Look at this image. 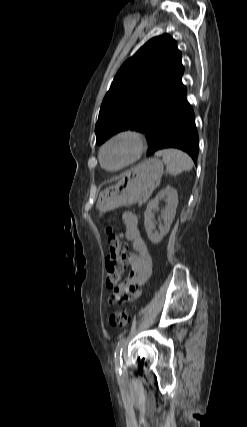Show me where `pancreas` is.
I'll use <instances>...</instances> for the list:
<instances>
[{"label":"pancreas","mask_w":247,"mask_h":427,"mask_svg":"<svg viewBox=\"0 0 247 427\" xmlns=\"http://www.w3.org/2000/svg\"><path fill=\"white\" fill-rule=\"evenodd\" d=\"M150 194H151V191L147 192V193L143 196V199H142L141 201H139V204H142V203L146 202V201H147V199L149 198Z\"/></svg>","instance_id":"1"}]
</instances>
